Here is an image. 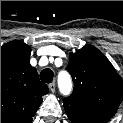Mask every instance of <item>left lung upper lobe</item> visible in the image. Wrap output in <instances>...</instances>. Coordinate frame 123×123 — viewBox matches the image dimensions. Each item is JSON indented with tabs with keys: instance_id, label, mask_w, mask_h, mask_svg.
Here are the masks:
<instances>
[{
	"instance_id": "left-lung-upper-lobe-1",
	"label": "left lung upper lobe",
	"mask_w": 123,
	"mask_h": 123,
	"mask_svg": "<svg viewBox=\"0 0 123 123\" xmlns=\"http://www.w3.org/2000/svg\"><path fill=\"white\" fill-rule=\"evenodd\" d=\"M67 70L74 81L73 93L64 99L67 116L79 113L105 122L112 118L123 98V80L109 60L85 45L70 54Z\"/></svg>"
}]
</instances>
